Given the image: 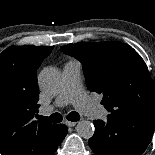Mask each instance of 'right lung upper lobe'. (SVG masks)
<instances>
[{
	"label": "right lung upper lobe",
	"mask_w": 155,
	"mask_h": 155,
	"mask_svg": "<svg viewBox=\"0 0 155 155\" xmlns=\"http://www.w3.org/2000/svg\"><path fill=\"white\" fill-rule=\"evenodd\" d=\"M53 46H11L0 54V152L47 155L58 138V125L37 122L36 70Z\"/></svg>",
	"instance_id": "obj_1"
}]
</instances>
